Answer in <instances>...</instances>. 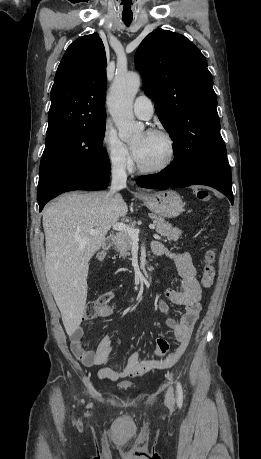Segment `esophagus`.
Here are the masks:
<instances>
[{
    "mask_svg": "<svg viewBox=\"0 0 261 459\" xmlns=\"http://www.w3.org/2000/svg\"><path fill=\"white\" fill-rule=\"evenodd\" d=\"M138 192H139L140 194H143V191H142V190H140V189H138Z\"/></svg>",
    "mask_w": 261,
    "mask_h": 459,
    "instance_id": "esophagus-1",
    "label": "esophagus"
}]
</instances>
